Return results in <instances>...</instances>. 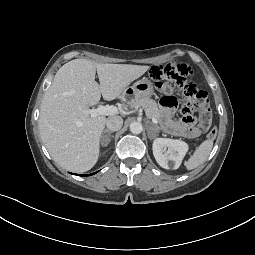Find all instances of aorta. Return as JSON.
<instances>
[{"mask_svg":"<svg viewBox=\"0 0 255 255\" xmlns=\"http://www.w3.org/2000/svg\"><path fill=\"white\" fill-rule=\"evenodd\" d=\"M143 130V126L140 122H132L130 124V131L133 134H140Z\"/></svg>","mask_w":255,"mask_h":255,"instance_id":"762f6f07","label":"aorta"}]
</instances>
